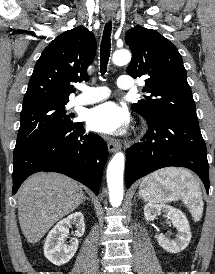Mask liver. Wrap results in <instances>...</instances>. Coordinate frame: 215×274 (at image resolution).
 I'll list each match as a JSON object with an SVG mask.
<instances>
[{
    "label": "liver",
    "instance_id": "obj_1",
    "mask_svg": "<svg viewBox=\"0 0 215 274\" xmlns=\"http://www.w3.org/2000/svg\"><path fill=\"white\" fill-rule=\"evenodd\" d=\"M84 193L73 179L58 173H37L18 191V217L23 235L37 243L61 218L74 211Z\"/></svg>",
    "mask_w": 215,
    "mask_h": 274
}]
</instances>
